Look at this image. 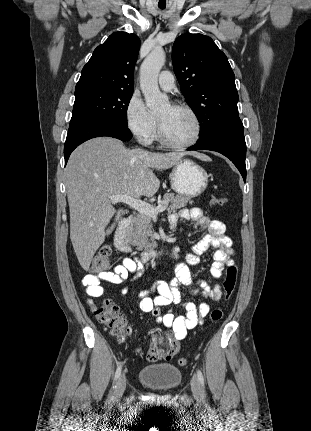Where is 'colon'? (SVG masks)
<instances>
[{"mask_svg":"<svg viewBox=\"0 0 311 431\" xmlns=\"http://www.w3.org/2000/svg\"><path fill=\"white\" fill-rule=\"evenodd\" d=\"M211 203L216 206H224L226 200L220 196H213ZM112 255V249L109 245L102 246L94 256L90 272L92 276L103 272L110 263ZM238 269L235 265H230L227 268L226 276L223 282L225 290V297L228 298L237 282ZM99 320L108 325L111 333L116 336L121 342L125 341L130 334V327L128 326L125 319L119 313L118 308L110 301H103L98 307L95 308ZM223 312L220 308H215L210 313V319L212 322H218L222 318ZM180 345L170 338H156L151 342L147 349V358L150 361H156L160 359H170L178 353ZM180 366H185L188 363L186 358H180L178 360Z\"/></svg>","mask_w":311,"mask_h":431,"instance_id":"colon-1","label":"colon"}]
</instances>
